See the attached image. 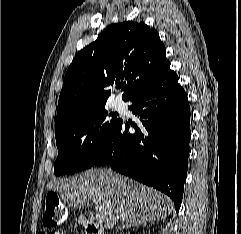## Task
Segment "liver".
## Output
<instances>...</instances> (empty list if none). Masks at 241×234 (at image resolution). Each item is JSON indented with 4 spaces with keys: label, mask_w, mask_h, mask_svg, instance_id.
<instances>
[{
    "label": "liver",
    "mask_w": 241,
    "mask_h": 234,
    "mask_svg": "<svg viewBox=\"0 0 241 234\" xmlns=\"http://www.w3.org/2000/svg\"><path fill=\"white\" fill-rule=\"evenodd\" d=\"M47 187L59 192L73 208L94 204L107 229L118 222L138 226L159 221L173 207L166 195L111 169H89L72 179L49 182Z\"/></svg>",
    "instance_id": "liver-1"
}]
</instances>
